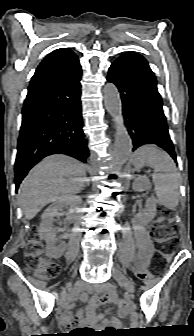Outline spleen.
<instances>
[{
    "label": "spleen",
    "mask_w": 194,
    "mask_h": 336,
    "mask_svg": "<svg viewBox=\"0 0 194 336\" xmlns=\"http://www.w3.org/2000/svg\"><path fill=\"white\" fill-rule=\"evenodd\" d=\"M133 164L137 169L148 166L154 170L158 202L168 209H175L180 196V176L171 157L153 145H145L134 153Z\"/></svg>",
    "instance_id": "1"
}]
</instances>
